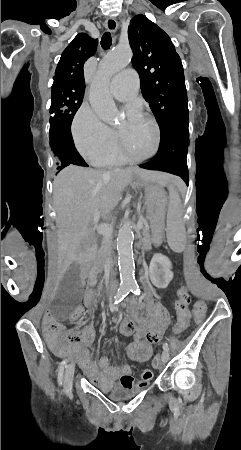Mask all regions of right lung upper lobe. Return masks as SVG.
Masks as SVG:
<instances>
[{"mask_svg": "<svg viewBox=\"0 0 241 450\" xmlns=\"http://www.w3.org/2000/svg\"><path fill=\"white\" fill-rule=\"evenodd\" d=\"M98 40L85 33L78 34L63 51L57 65L53 84L64 83L85 89L83 65L93 56Z\"/></svg>", "mask_w": 241, "mask_h": 450, "instance_id": "cb5924a9", "label": "right lung upper lobe"}]
</instances>
